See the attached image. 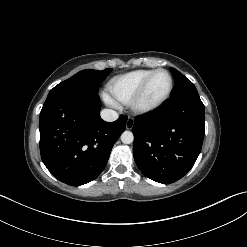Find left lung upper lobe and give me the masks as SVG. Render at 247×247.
Returning a JSON list of instances; mask_svg holds the SVG:
<instances>
[{"instance_id": "obj_1", "label": "left lung upper lobe", "mask_w": 247, "mask_h": 247, "mask_svg": "<svg viewBox=\"0 0 247 247\" xmlns=\"http://www.w3.org/2000/svg\"><path fill=\"white\" fill-rule=\"evenodd\" d=\"M170 71L175 80V89L171 98L182 97L186 95L198 94L197 89L193 83L181 74L175 68H170Z\"/></svg>"}]
</instances>
